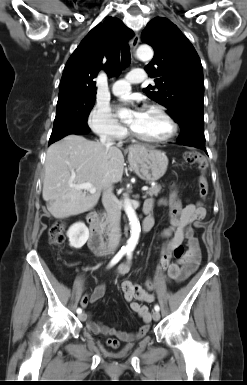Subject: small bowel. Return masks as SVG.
<instances>
[{
  "instance_id": "c3829d8e",
  "label": "small bowel",
  "mask_w": 247,
  "mask_h": 385,
  "mask_svg": "<svg viewBox=\"0 0 247 385\" xmlns=\"http://www.w3.org/2000/svg\"><path fill=\"white\" fill-rule=\"evenodd\" d=\"M159 204L169 206L171 209L169 224L159 234V238L166 241L162 249L163 255L160 259V263L166 256H171L174 249L180 246L183 240H186V253L182 258L175 262H171L170 259L169 267L166 270L169 281L183 282L197 270L200 264V244L195 236L194 227H202V221L206 216V209L200 202L183 205L176 197L175 192H172L168 199L160 200ZM154 207V200L148 199L145 201L144 211L149 214V216H152L151 214ZM129 270L130 265L128 263H123L117 268L116 274L118 276H123L127 274ZM158 272L159 274L162 273L159 267ZM126 284L133 285L139 292L138 295H135L133 292L124 291L125 300L129 303L131 310L136 313L143 322L142 326L137 331L126 332L113 326L104 325L100 322L91 320L90 314H86L89 330L95 334L106 337V344L113 348H117L121 341L132 342L142 338L148 332L152 320L149 308L144 303H152L155 301V294L150 293L149 291L156 287L157 283L155 281H150L144 286H140L131 282H125L123 287ZM105 291V283L98 284L91 294H86L81 298V306L86 308L90 304L98 302L104 296Z\"/></svg>"
}]
</instances>
